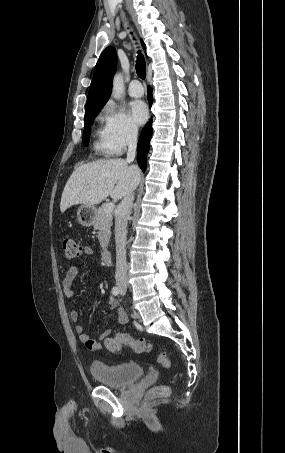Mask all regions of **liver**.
I'll return each instance as SVG.
<instances>
[{"label": "liver", "mask_w": 285, "mask_h": 453, "mask_svg": "<svg viewBox=\"0 0 285 453\" xmlns=\"http://www.w3.org/2000/svg\"><path fill=\"white\" fill-rule=\"evenodd\" d=\"M137 166L121 158L101 159L78 166L68 179L60 202L61 212L76 204L94 206L108 196L119 200L140 180Z\"/></svg>", "instance_id": "1"}]
</instances>
